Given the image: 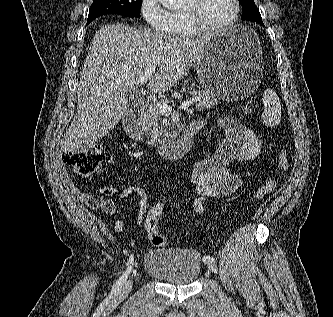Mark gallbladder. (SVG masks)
<instances>
[{
  "label": "gallbladder",
  "mask_w": 333,
  "mask_h": 317,
  "mask_svg": "<svg viewBox=\"0 0 333 317\" xmlns=\"http://www.w3.org/2000/svg\"><path fill=\"white\" fill-rule=\"evenodd\" d=\"M127 100H128V102L131 106H135V104H136V98L135 97L127 98Z\"/></svg>",
  "instance_id": "gallbladder-1"
}]
</instances>
